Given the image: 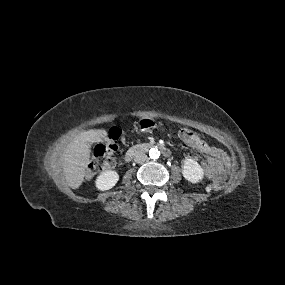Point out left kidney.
Wrapping results in <instances>:
<instances>
[{
  "label": "left kidney",
  "mask_w": 285,
  "mask_h": 285,
  "mask_svg": "<svg viewBox=\"0 0 285 285\" xmlns=\"http://www.w3.org/2000/svg\"><path fill=\"white\" fill-rule=\"evenodd\" d=\"M182 173L183 177L191 183H198L204 176L202 167L193 159L183 161Z\"/></svg>",
  "instance_id": "5707ae66"
}]
</instances>
